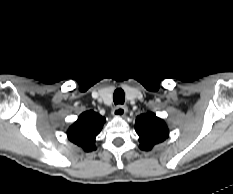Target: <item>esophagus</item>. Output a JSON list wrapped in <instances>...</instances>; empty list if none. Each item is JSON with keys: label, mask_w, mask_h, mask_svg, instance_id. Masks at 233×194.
<instances>
[{"label": "esophagus", "mask_w": 233, "mask_h": 194, "mask_svg": "<svg viewBox=\"0 0 233 194\" xmlns=\"http://www.w3.org/2000/svg\"><path fill=\"white\" fill-rule=\"evenodd\" d=\"M127 113V108L122 105H118L113 109V115L116 117H123Z\"/></svg>", "instance_id": "1"}]
</instances>
